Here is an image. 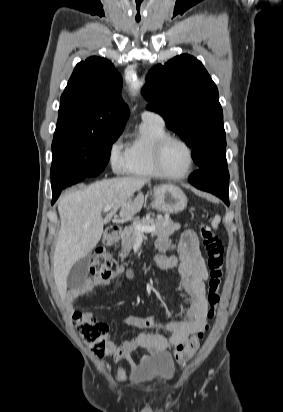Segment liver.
<instances>
[{
  "label": "liver",
  "mask_w": 283,
  "mask_h": 412,
  "mask_svg": "<svg viewBox=\"0 0 283 412\" xmlns=\"http://www.w3.org/2000/svg\"><path fill=\"white\" fill-rule=\"evenodd\" d=\"M147 182L148 179L141 177L102 180L69 193L59 201L61 227L53 257V271L61 297L67 291L70 269L98 244L104 224L118 210L121 217L133 216L141 210L143 195L134 198V194ZM109 205L113 209L103 219L104 208Z\"/></svg>",
  "instance_id": "6515ba94"
}]
</instances>
